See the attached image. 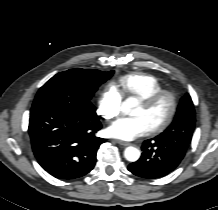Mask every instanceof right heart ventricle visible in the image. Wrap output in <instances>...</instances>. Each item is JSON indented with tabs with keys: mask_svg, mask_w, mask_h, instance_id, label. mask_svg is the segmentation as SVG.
I'll use <instances>...</instances> for the list:
<instances>
[{
	"mask_svg": "<svg viewBox=\"0 0 218 210\" xmlns=\"http://www.w3.org/2000/svg\"><path fill=\"white\" fill-rule=\"evenodd\" d=\"M122 97L141 99L164 89L161 81L147 73H131L121 76L113 85Z\"/></svg>",
	"mask_w": 218,
	"mask_h": 210,
	"instance_id": "obj_1",
	"label": "right heart ventricle"
}]
</instances>
